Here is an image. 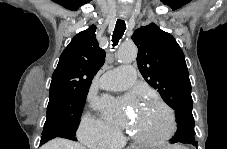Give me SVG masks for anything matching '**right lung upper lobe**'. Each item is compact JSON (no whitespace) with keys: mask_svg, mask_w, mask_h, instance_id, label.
I'll list each match as a JSON object with an SVG mask.
<instances>
[{"mask_svg":"<svg viewBox=\"0 0 227 149\" xmlns=\"http://www.w3.org/2000/svg\"><path fill=\"white\" fill-rule=\"evenodd\" d=\"M95 30L96 27L91 25L78 33L62 52L52 75L50 94L88 93L94 75L105 60V52L98 45Z\"/></svg>","mask_w":227,"mask_h":149,"instance_id":"obj_1","label":"right lung upper lobe"}]
</instances>
